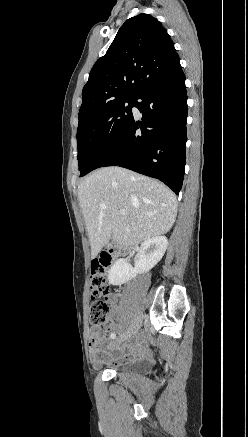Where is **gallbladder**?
I'll use <instances>...</instances> for the list:
<instances>
[{
  "instance_id": "1",
  "label": "gallbladder",
  "mask_w": 248,
  "mask_h": 437,
  "mask_svg": "<svg viewBox=\"0 0 248 437\" xmlns=\"http://www.w3.org/2000/svg\"><path fill=\"white\" fill-rule=\"evenodd\" d=\"M111 244H114V241H113V240H111V242L109 243V245H111Z\"/></svg>"
}]
</instances>
